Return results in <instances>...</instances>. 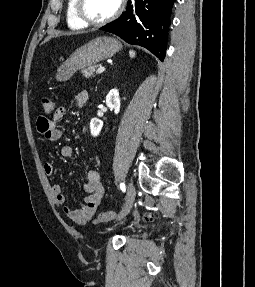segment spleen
Instances as JSON below:
<instances>
[{
  "label": "spleen",
  "mask_w": 255,
  "mask_h": 287,
  "mask_svg": "<svg viewBox=\"0 0 255 287\" xmlns=\"http://www.w3.org/2000/svg\"><path fill=\"white\" fill-rule=\"evenodd\" d=\"M136 54L133 50H130V58H135Z\"/></svg>",
  "instance_id": "spleen-1"
}]
</instances>
